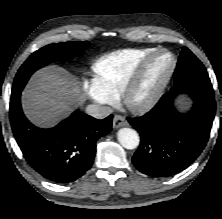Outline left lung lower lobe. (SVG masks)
Returning <instances> with one entry per match:
<instances>
[{"label": "left lung lower lobe", "mask_w": 222, "mask_h": 219, "mask_svg": "<svg viewBox=\"0 0 222 219\" xmlns=\"http://www.w3.org/2000/svg\"><path fill=\"white\" fill-rule=\"evenodd\" d=\"M182 92L194 100L187 114L178 113L173 106L174 98ZM215 109L213 91L182 86L165 93L145 115L128 118L141 136L132 158L134 166L152 177L174 175L187 168L207 143Z\"/></svg>", "instance_id": "1"}]
</instances>
